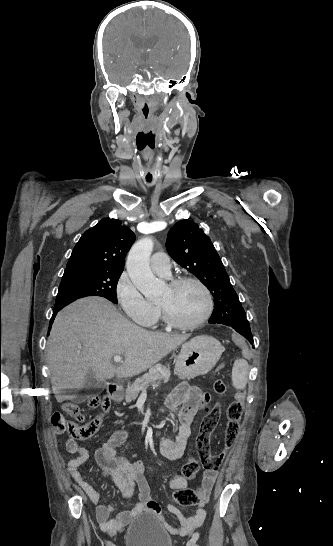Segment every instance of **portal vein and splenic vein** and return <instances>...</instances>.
I'll list each match as a JSON object with an SVG mask.
<instances>
[{
  "label": "portal vein and splenic vein",
  "instance_id": "1",
  "mask_svg": "<svg viewBox=\"0 0 333 546\" xmlns=\"http://www.w3.org/2000/svg\"><path fill=\"white\" fill-rule=\"evenodd\" d=\"M113 360L116 363H120V362H122V357L120 355H116V356H114ZM152 386L156 387V386H158V384H153Z\"/></svg>",
  "mask_w": 333,
  "mask_h": 546
}]
</instances>
